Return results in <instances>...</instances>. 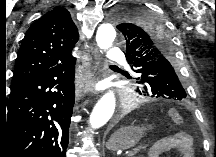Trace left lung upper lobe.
<instances>
[{
	"label": "left lung upper lobe",
	"mask_w": 216,
	"mask_h": 157,
	"mask_svg": "<svg viewBox=\"0 0 216 157\" xmlns=\"http://www.w3.org/2000/svg\"><path fill=\"white\" fill-rule=\"evenodd\" d=\"M113 18L122 34L127 62L137 75L138 92L161 100L187 99L163 19L137 4L120 6Z\"/></svg>",
	"instance_id": "obj_1"
}]
</instances>
